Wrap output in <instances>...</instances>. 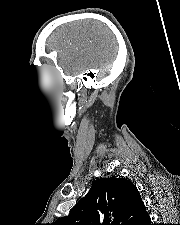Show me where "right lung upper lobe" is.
<instances>
[{"label":"right lung upper lobe","mask_w":180,"mask_h":225,"mask_svg":"<svg viewBox=\"0 0 180 225\" xmlns=\"http://www.w3.org/2000/svg\"><path fill=\"white\" fill-rule=\"evenodd\" d=\"M146 212L137 188L124 178L95 181L88 194L52 225H147Z\"/></svg>","instance_id":"1"}]
</instances>
